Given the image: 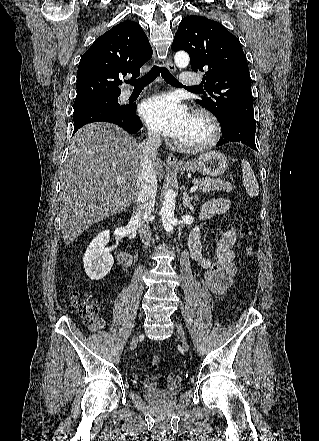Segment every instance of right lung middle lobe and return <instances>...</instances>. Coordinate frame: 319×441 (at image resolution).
<instances>
[{
	"label": "right lung middle lobe",
	"instance_id": "right-lung-middle-lobe-1",
	"mask_svg": "<svg viewBox=\"0 0 319 441\" xmlns=\"http://www.w3.org/2000/svg\"><path fill=\"white\" fill-rule=\"evenodd\" d=\"M96 108H112V109L125 110L127 109V106L119 105L118 96L75 101L73 115Z\"/></svg>",
	"mask_w": 319,
	"mask_h": 441
}]
</instances>
